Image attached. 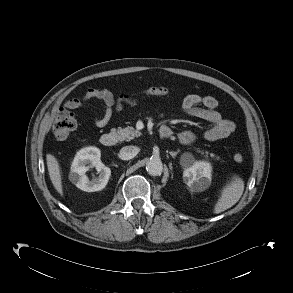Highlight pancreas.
Segmentation results:
<instances>
[{
	"label": "pancreas",
	"mask_w": 293,
	"mask_h": 293,
	"mask_svg": "<svg viewBox=\"0 0 293 293\" xmlns=\"http://www.w3.org/2000/svg\"><path fill=\"white\" fill-rule=\"evenodd\" d=\"M118 135V139L119 141H130L132 139H134L135 137H139L141 135V132H139L138 130L134 129L131 126H128L126 128H119L116 130L115 132ZM197 152L204 154L203 151L197 150ZM208 152H205V157H208ZM211 157L215 158L216 160H219L220 157L219 156H215L214 154H210Z\"/></svg>",
	"instance_id": "pancreas-1"
}]
</instances>
